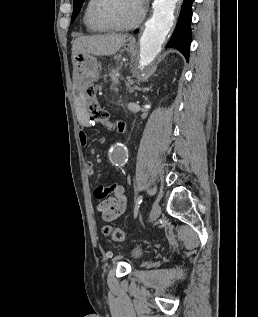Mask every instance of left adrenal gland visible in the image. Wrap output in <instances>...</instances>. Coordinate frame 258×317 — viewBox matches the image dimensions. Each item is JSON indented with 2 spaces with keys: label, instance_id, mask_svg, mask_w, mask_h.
I'll return each instance as SVG.
<instances>
[{
  "label": "left adrenal gland",
  "instance_id": "left-adrenal-gland-1",
  "mask_svg": "<svg viewBox=\"0 0 258 317\" xmlns=\"http://www.w3.org/2000/svg\"><path fill=\"white\" fill-rule=\"evenodd\" d=\"M132 90H135V88H132ZM135 96H137V92H135Z\"/></svg>",
  "mask_w": 258,
  "mask_h": 317
}]
</instances>
